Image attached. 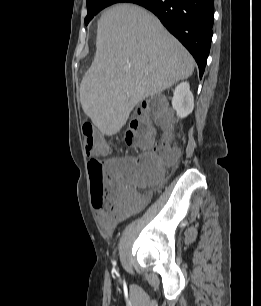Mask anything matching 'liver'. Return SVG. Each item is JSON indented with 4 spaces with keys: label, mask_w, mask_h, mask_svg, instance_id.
<instances>
[{
    "label": "liver",
    "mask_w": 261,
    "mask_h": 306,
    "mask_svg": "<svg viewBox=\"0 0 261 306\" xmlns=\"http://www.w3.org/2000/svg\"><path fill=\"white\" fill-rule=\"evenodd\" d=\"M194 71V59L145 9L106 10L98 21L96 55L80 84L84 113L106 135L126 124L132 109Z\"/></svg>",
    "instance_id": "liver-1"
}]
</instances>
